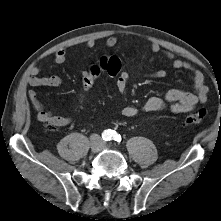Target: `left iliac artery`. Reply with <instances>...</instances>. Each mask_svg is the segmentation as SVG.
<instances>
[{
	"mask_svg": "<svg viewBox=\"0 0 221 221\" xmlns=\"http://www.w3.org/2000/svg\"><path fill=\"white\" fill-rule=\"evenodd\" d=\"M110 139L117 141V142H121V136L120 134H118L116 131H112L111 132V137Z\"/></svg>",
	"mask_w": 221,
	"mask_h": 221,
	"instance_id": "left-iliac-artery-1",
	"label": "left iliac artery"
}]
</instances>
